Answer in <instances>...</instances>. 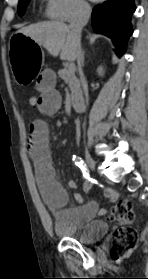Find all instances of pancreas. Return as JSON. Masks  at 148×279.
<instances>
[{"label":"pancreas","mask_w":148,"mask_h":279,"mask_svg":"<svg viewBox=\"0 0 148 279\" xmlns=\"http://www.w3.org/2000/svg\"><path fill=\"white\" fill-rule=\"evenodd\" d=\"M58 75L69 86L71 91V101L76 103L81 98L80 82L74 72H70L68 68L59 70Z\"/></svg>","instance_id":"1"}]
</instances>
